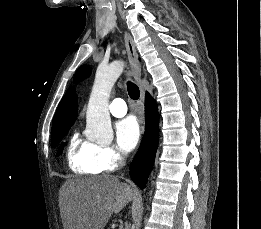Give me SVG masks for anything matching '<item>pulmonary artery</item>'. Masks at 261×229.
<instances>
[{
  "instance_id": "pulmonary-artery-1",
  "label": "pulmonary artery",
  "mask_w": 261,
  "mask_h": 229,
  "mask_svg": "<svg viewBox=\"0 0 261 229\" xmlns=\"http://www.w3.org/2000/svg\"><path fill=\"white\" fill-rule=\"evenodd\" d=\"M110 113L115 117H122L127 112L126 104L122 99H115L109 106Z\"/></svg>"
}]
</instances>
